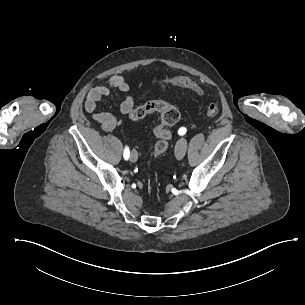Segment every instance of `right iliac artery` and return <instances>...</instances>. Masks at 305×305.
Instances as JSON below:
<instances>
[{
    "label": "right iliac artery",
    "instance_id": "82829eb1",
    "mask_svg": "<svg viewBox=\"0 0 305 305\" xmlns=\"http://www.w3.org/2000/svg\"><path fill=\"white\" fill-rule=\"evenodd\" d=\"M123 156H124V159H125V160H128V159H129L130 151H129V148H128V147H125Z\"/></svg>",
    "mask_w": 305,
    "mask_h": 305
}]
</instances>
